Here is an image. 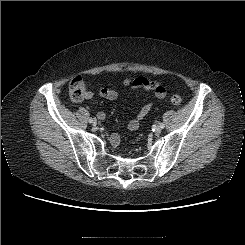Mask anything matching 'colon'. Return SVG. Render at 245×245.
<instances>
[{
    "instance_id": "obj_1",
    "label": "colon",
    "mask_w": 245,
    "mask_h": 245,
    "mask_svg": "<svg viewBox=\"0 0 245 245\" xmlns=\"http://www.w3.org/2000/svg\"><path fill=\"white\" fill-rule=\"evenodd\" d=\"M134 83L141 88L154 90L157 93L166 92L164 84L146 78H137ZM68 92L70 99L73 101H82L85 99L87 93L84 80L80 76L73 78L69 83ZM171 102L175 105H179L182 102V98L179 95H173Z\"/></svg>"
}]
</instances>
